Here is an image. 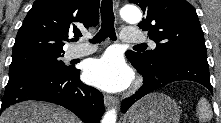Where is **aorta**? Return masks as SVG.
<instances>
[{
	"instance_id": "obj_1",
	"label": "aorta",
	"mask_w": 221,
	"mask_h": 123,
	"mask_svg": "<svg viewBox=\"0 0 221 123\" xmlns=\"http://www.w3.org/2000/svg\"><path fill=\"white\" fill-rule=\"evenodd\" d=\"M121 18L130 23V24H137L142 20V13L140 9L133 5H126L120 10ZM116 110L111 109L106 112L102 119V123H116Z\"/></svg>"
}]
</instances>
